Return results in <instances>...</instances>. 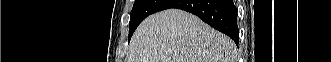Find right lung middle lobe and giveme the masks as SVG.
Returning <instances> with one entry per match:
<instances>
[{"label":"right lung middle lobe","instance_id":"obj_1","mask_svg":"<svg viewBox=\"0 0 331 62\" xmlns=\"http://www.w3.org/2000/svg\"><path fill=\"white\" fill-rule=\"evenodd\" d=\"M171 0H135L130 15L129 40L138 25L149 15L161 11Z\"/></svg>","mask_w":331,"mask_h":62}]
</instances>
